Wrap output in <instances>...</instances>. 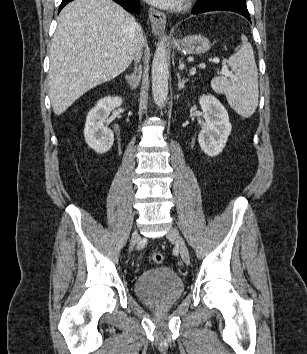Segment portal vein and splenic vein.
Masks as SVG:
<instances>
[{
	"mask_svg": "<svg viewBox=\"0 0 307 354\" xmlns=\"http://www.w3.org/2000/svg\"><path fill=\"white\" fill-rule=\"evenodd\" d=\"M104 57H107L108 56V53L107 52H104L102 54ZM215 64H218L220 62V60L218 58H214L212 60ZM222 74H224L225 76H228V77H233V75L228 71V68L226 66L223 67L222 71H221Z\"/></svg>",
	"mask_w": 307,
	"mask_h": 354,
	"instance_id": "portal-vein-and-splenic-vein-1",
	"label": "portal vein and splenic vein"
}]
</instances>
